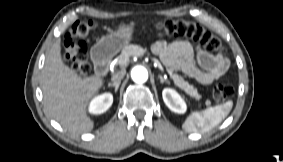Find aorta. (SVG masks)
Instances as JSON below:
<instances>
[{
  "instance_id": "aorta-1",
  "label": "aorta",
  "mask_w": 283,
  "mask_h": 162,
  "mask_svg": "<svg viewBox=\"0 0 283 162\" xmlns=\"http://www.w3.org/2000/svg\"><path fill=\"white\" fill-rule=\"evenodd\" d=\"M131 78L136 83H144L148 79V71L143 66H135L131 71Z\"/></svg>"
}]
</instances>
